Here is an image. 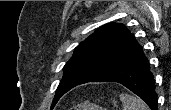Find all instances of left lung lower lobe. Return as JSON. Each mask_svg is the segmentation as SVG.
<instances>
[{"instance_id": "left-lung-lower-lobe-1", "label": "left lung lower lobe", "mask_w": 171, "mask_h": 110, "mask_svg": "<svg viewBox=\"0 0 171 110\" xmlns=\"http://www.w3.org/2000/svg\"><path fill=\"white\" fill-rule=\"evenodd\" d=\"M89 82L120 83L143 99L152 110H157L154 78L141 47L129 58Z\"/></svg>"}]
</instances>
